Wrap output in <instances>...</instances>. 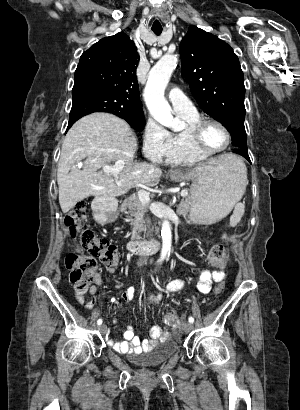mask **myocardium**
<instances>
[{
    "mask_svg": "<svg viewBox=\"0 0 300 410\" xmlns=\"http://www.w3.org/2000/svg\"><path fill=\"white\" fill-rule=\"evenodd\" d=\"M211 123L218 125L224 131L227 137L226 144L222 148L215 149V150L208 149L203 143V139H202L203 128L205 127V125L211 124ZM188 136H189V140L192 146L194 147V149L207 156L215 155V154L225 151L229 147L231 140H232L231 132L228 129V127L222 121L215 119V118H210V117L199 118L197 121L191 124L188 127Z\"/></svg>",
    "mask_w": 300,
    "mask_h": 410,
    "instance_id": "myocardium-1",
    "label": "myocardium"
}]
</instances>
